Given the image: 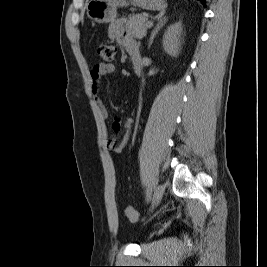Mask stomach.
Wrapping results in <instances>:
<instances>
[{
	"mask_svg": "<svg viewBox=\"0 0 267 267\" xmlns=\"http://www.w3.org/2000/svg\"><path fill=\"white\" fill-rule=\"evenodd\" d=\"M145 10L159 11L165 8L166 0H130ZM126 0H90L86 5L87 16L99 24L109 23L115 20L117 8L127 6Z\"/></svg>",
	"mask_w": 267,
	"mask_h": 267,
	"instance_id": "stomach-1",
	"label": "stomach"
}]
</instances>
